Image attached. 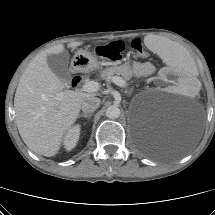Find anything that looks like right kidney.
Returning a JSON list of instances; mask_svg holds the SVG:
<instances>
[{
    "label": "right kidney",
    "mask_w": 215,
    "mask_h": 215,
    "mask_svg": "<svg viewBox=\"0 0 215 215\" xmlns=\"http://www.w3.org/2000/svg\"><path fill=\"white\" fill-rule=\"evenodd\" d=\"M79 135H80L79 125H75L68 130L63 139V143L67 151L72 150L76 146L77 141L79 139Z\"/></svg>",
    "instance_id": "right-kidney-1"
}]
</instances>
